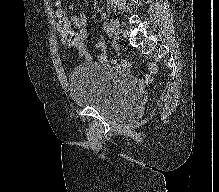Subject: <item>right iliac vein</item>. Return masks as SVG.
<instances>
[{"label": "right iliac vein", "instance_id": "1", "mask_svg": "<svg viewBox=\"0 0 219 192\" xmlns=\"http://www.w3.org/2000/svg\"><path fill=\"white\" fill-rule=\"evenodd\" d=\"M110 28L112 30V36H113L114 40L118 41L119 38H120V36H119V34H120V32H119V25L113 19L110 20Z\"/></svg>", "mask_w": 219, "mask_h": 192}]
</instances>
